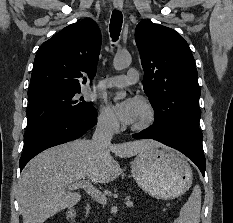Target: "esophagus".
Here are the masks:
<instances>
[{
  "mask_svg": "<svg viewBox=\"0 0 233 223\" xmlns=\"http://www.w3.org/2000/svg\"><path fill=\"white\" fill-rule=\"evenodd\" d=\"M113 5H114V8H116V10H122L123 0H114Z\"/></svg>",
  "mask_w": 233,
  "mask_h": 223,
  "instance_id": "1",
  "label": "esophagus"
}]
</instances>
